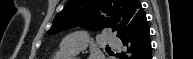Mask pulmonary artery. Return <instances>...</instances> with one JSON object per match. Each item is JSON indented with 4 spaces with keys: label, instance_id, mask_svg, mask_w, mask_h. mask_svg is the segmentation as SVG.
<instances>
[{
    "label": "pulmonary artery",
    "instance_id": "pulmonary-artery-1",
    "mask_svg": "<svg viewBox=\"0 0 193 59\" xmlns=\"http://www.w3.org/2000/svg\"><path fill=\"white\" fill-rule=\"evenodd\" d=\"M89 41H90L89 35L84 32L68 34L64 38V41L61 45V49L77 53L83 50L87 46ZM108 44L110 46H119V47L123 45L122 41L116 36H110L108 38Z\"/></svg>",
    "mask_w": 193,
    "mask_h": 59
}]
</instances>
